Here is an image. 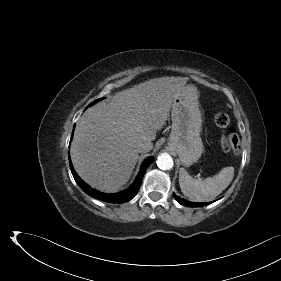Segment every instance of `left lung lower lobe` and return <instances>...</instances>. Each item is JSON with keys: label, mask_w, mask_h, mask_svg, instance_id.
I'll use <instances>...</instances> for the list:
<instances>
[{"label": "left lung lower lobe", "mask_w": 281, "mask_h": 281, "mask_svg": "<svg viewBox=\"0 0 281 281\" xmlns=\"http://www.w3.org/2000/svg\"><path fill=\"white\" fill-rule=\"evenodd\" d=\"M175 199L182 205L184 206H189V207H201V206H205L208 205L212 202H206V203H193V202H189L183 198H180L178 196H175Z\"/></svg>", "instance_id": "left-lung-lower-lobe-1"}]
</instances>
